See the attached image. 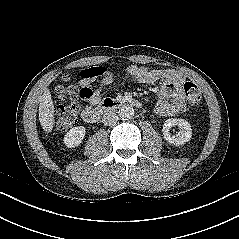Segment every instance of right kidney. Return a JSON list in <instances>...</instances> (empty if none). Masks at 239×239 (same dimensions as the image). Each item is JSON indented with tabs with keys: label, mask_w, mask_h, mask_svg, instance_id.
Masks as SVG:
<instances>
[{
	"label": "right kidney",
	"mask_w": 239,
	"mask_h": 239,
	"mask_svg": "<svg viewBox=\"0 0 239 239\" xmlns=\"http://www.w3.org/2000/svg\"><path fill=\"white\" fill-rule=\"evenodd\" d=\"M85 133L86 129L84 126L74 127L70 129V131H68L67 134L65 135L64 143L68 148H74L82 142Z\"/></svg>",
	"instance_id": "ca27d5eb"
}]
</instances>
